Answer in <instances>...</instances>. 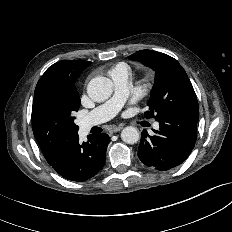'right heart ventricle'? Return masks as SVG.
Returning a JSON list of instances; mask_svg holds the SVG:
<instances>
[{
  "label": "right heart ventricle",
  "mask_w": 232,
  "mask_h": 232,
  "mask_svg": "<svg viewBox=\"0 0 232 232\" xmlns=\"http://www.w3.org/2000/svg\"><path fill=\"white\" fill-rule=\"evenodd\" d=\"M116 70H127V71H129V67H128V65L126 63L121 62V63L116 64L111 69L110 73H112L113 71H116Z\"/></svg>",
  "instance_id": "e07e8e85"
}]
</instances>
